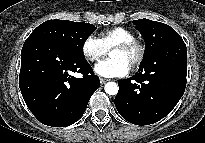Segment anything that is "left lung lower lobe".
I'll return each mask as SVG.
<instances>
[{"instance_id":"0a47b994","label":"left lung lower lobe","mask_w":205,"mask_h":143,"mask_svg":"<svg viewBox=\"0 0 205 143\" xmlns=\"http://www.w3.org/2000/svg\"><path fill=\"white\" fill-rule=\"evenodd\" d=\"M166 63L139 70L119 80L115 106L119 114L136 125H149L167 116L183 96L186 87L187 49L182 38L173 40L155 53ZM156 65V64H154Z\"/></svg>"}]
</instances>
